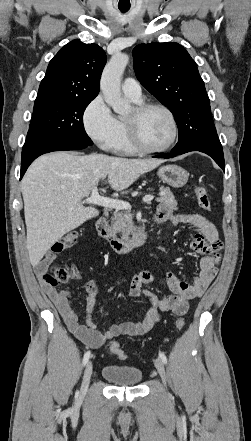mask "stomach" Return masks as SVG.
<instances>
[{"label":"stomach","instance_id":"0dacf381","mask_svg":"<svg viewBox=\"0 0 251 441\" xmlns=\"http://www.w3.org/2000/svg\"><path fill=\"white\" fill-rule=\"evenodd\" d=\"M159 178L174 188L183 187L187 181L189 174L185 169L177 165H165L158 170Z\"/></svg>","mask_w":251,"mask_h":441}]
</instances>
